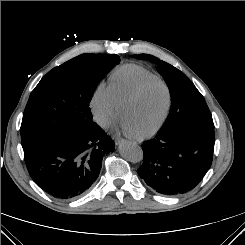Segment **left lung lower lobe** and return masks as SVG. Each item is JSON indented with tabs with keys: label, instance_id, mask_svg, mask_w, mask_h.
<instances>
[{
	"label": "left lung lower lobe",
	"instance_id": "0a47b994",
	"mask_svg": "<svg viewBox=\"0 0 245 245\" xmlns=\"http://www.w3.org/2000/svg\"><path fill=\"white\" fill-rule=\"evenodd\" d=\"M214 143V128L181 121L144 142L138 174L158 193L183 194L193 189L210 168Z\"/></svg>",
	"mask_w": 245,
	"mask_h": 245
}]
</instances>
